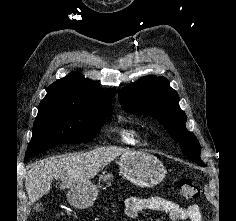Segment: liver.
I'll use <instances>...</instances> for the list:
<instances>
[{
    "mask_svg": "<svg viewBox=\"0 0 236 221\" xmlns=\"http://www.w3.org/2000/svg\"><path fill=\"white\" fill-rule=\"evenodd\" d=\"M127 152L116 146L99 147L89 152L70 153L35 162L25 177L29 201L33 204L47 194L53 179L62 181V189L90 181L107 164Z\"/></svg>",
    "mask_w": 236,
    "mask_h": 221,
    "instance_id": "6515ba94",
    "label": "liver"
}]
</instances>
